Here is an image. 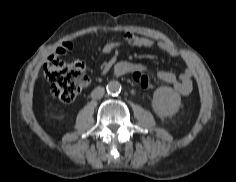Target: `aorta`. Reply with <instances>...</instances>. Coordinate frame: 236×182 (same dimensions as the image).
Returning a JSON list of instances; mask_svg holds the SVG:
<instances>
[{
    "label": "aorta",
    "instance_id": "obj_1",
    "mask_svg": "<svg viewBox=\"0 0 236 182\" xmlns=\"http://www.w3.org/2000/svg\"><path fill=\"white\" fill-rule=\"evenodd\" d=\"M121 91V85L118 81H110L108 84H107V92L109 94H118L120 93Z\"/></svg>",
    "mask_w": 236,
    "mask_h": 182
}]
</instances>
